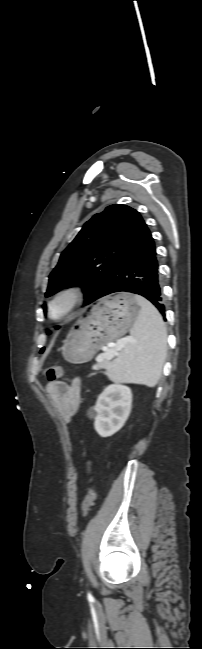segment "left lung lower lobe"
Wrapping results in <instances>:
<instances>
[{"label": "left lung lower lobe", "mask_w": 202, "mask_h": 649, "mask_svg": "<svg viewBox=\"0 0 202 649\" xmlns=\"http://www.w3.org/2000/svg\"><path fill=\"white\" fill-rule=\"evenodd\" d=\"M121 291L144 296L156 306L165 320L156 248L145 222L126 245L97 299Z\"/></svg>", "instance_id": "1"}]
</instances>
